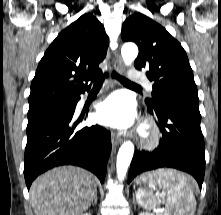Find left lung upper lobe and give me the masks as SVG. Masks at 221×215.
<instances>
[{"label":"left lung upper lobe","mask_w":221,"mask_h":215,"mask_svg":"<svg viewBox=\"0 0 221 215\" xmlns=\"http://www.w3.org/2000/svg\"><path fill=\"white\" fill-rule=\"evenodd\" d=\"M123 41L135 42L139 54L134 66L146 70L153 81L151 100L147 106L153 107L155 101L163 96H178L199 104L197 86L186 52L164 27L149 17L135 13L123 23Z\"/></svg>","instance_id":"left-lung-upper-lobe-1"}]
</instances>
